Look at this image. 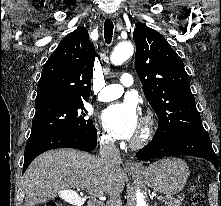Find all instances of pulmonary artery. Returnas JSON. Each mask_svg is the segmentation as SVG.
I'll use <instances>...</instances> for the list:
<instances>
[{
	"label": "pulmonary artery",
	"mask_w": 221,
	"mask_h": 206,
	"mask_svg": "<svg viewBox=\"0 0 221 206\" xmlns=\"http://www.w3.org/2000/svg\"><path fill=\"white\" fill-rule=\"evenodd\" d=\"M134 84V78L129 73L122 74L119 84L105 86L98 97L102 102L112 101L120 97L124 92V87H131Z\"/></svg>",
	"instance_id": "1"
}]
</instances>
